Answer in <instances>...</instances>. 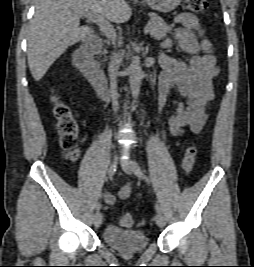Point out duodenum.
<instances>
[{
	"mask_svg": "<svg viewBox=\"0 0 254 267\" xmlns=\"http://www.w3.org/2000/svg\"><path fill=\"white\" fill-rule=\"evenodd\" d=\"M101 39L91 35L74 52V63L83 76L102 98L107 96V80L104 72L94 60V55L101 49Z\"/></svg>",
	"mask_w": 254,
	"mask_h": 267,
	"instance_id": "1",
	"label": "duodenum"
}]
</instances>
